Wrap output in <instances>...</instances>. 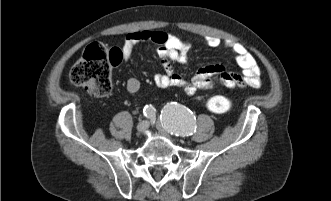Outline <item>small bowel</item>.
I'll return each instance as SVG.
<instances>
[{"instance_id": "small-bowel-1", "label": "small bowel", "mask_w": 331, "mask_h": 201, "mask_svg": "<svg viewBox=\"0 0 331 201\" xmlns=\"http://www.w3.org/2000/svg\"><path fill=\"white\" fill-rule=\"evenodd\" d=\"M205 46L217 48L224 46L234 55L242 74L227 71L221 65H207L201 67L195 76L187 81L173 68V63L185 64L187 62V53L192 47V43L180 36L172 35L162 31L142 30L127 33L121 47V55L124 61H128L132 55L134 47L139 43L158 44V56L162 73L154 75L156 85L162 88L179 87L187 95H193L200 89H209L215 83H220L227 88L251 87L258 88L261 85V70L254 56L247 48L239 42L230 40L222 41L214 36H205L203 39ZM141 86L140 81L131 77L127 80L126 89L130 94H135Z\"/></svg>"}]
</instances>
